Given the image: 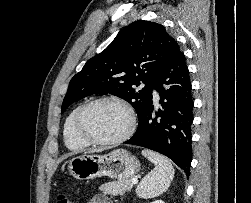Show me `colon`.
Instances as JSON below:
<instances>
[{
    "label": "colon",
    "mask_w": 251,
    "mask_h": 203,
    "mask_svg": "<svg viewBox=\"0 0 251 203\" xmlns=\"http://www.w3.org/2000/svg\"><path fill=\"white\" fill-rule=\"evenodd\" d=\"M55 203H72V202L65 194H60L57 196Z\"/></svg>",
    "instance_id": "colon-1"
}]
</instances>
